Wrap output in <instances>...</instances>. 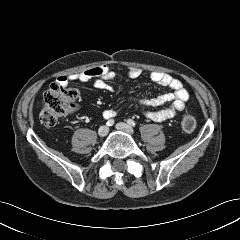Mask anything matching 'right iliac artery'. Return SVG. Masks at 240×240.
<instances>
[{
  "label": "right iliac artery",
  "mask_w": 240,
  "mask_h": 240,
  "mask_svg": "<svg viewBox=\"0 0 240 240\" xmlns=\"http://www.w3.org/2000/svg\"><path fill=\"white\" fill-rule=\"evenodd\" d=\"M114 124V120L113 119H109L106 123L107 126H112Z\"/></svg>",
  "instance_id": "obj_1"
}]
</instances>
